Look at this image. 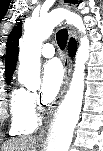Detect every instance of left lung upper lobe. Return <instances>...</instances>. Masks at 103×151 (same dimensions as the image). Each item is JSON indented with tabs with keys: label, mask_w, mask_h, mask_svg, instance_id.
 <instances>
[{
	"label": "left lung upper lobe",
	"mask_w": 103,
	"mask_h": 151,
	"mask_svg": "<svg viewBox=\"0 0 103 151\" xmlns=\"http://www.w3.org/2000/svg\"><path fill=\"white\" fill-rule=\"evenodd\" d=\"M65 2H69V3H78V1L77 0H65Z\"/></svg>",
	"instance_id": "1"
}]
</instances>
